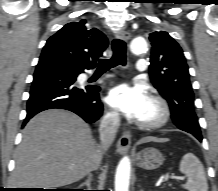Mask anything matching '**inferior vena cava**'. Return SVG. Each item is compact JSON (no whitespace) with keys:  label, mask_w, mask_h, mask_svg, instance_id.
I'll return each mask as SVG.
<instances>
[{"label":"inferior vena cava","mask_w":218,"mask_h":191,"mask_svg":"<svg viewBox=\"0 0 218 191\" xmlns=\"http://www.w3.org/2000/svg\"><path fill=\"white\" fill-rule=\"evenodd\" d=\"M120 126V116L118 112L107 113L100 123V145L97 149V166L100 164L102 154L108 150L113 143L117 130Z\"/></svg>","instance_id":"602c4592"}]
</instances>
